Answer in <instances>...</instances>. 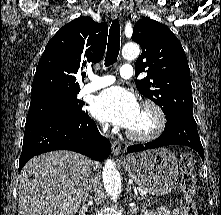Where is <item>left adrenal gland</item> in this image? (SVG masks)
Segmentation results:
<instances>
[{
  "mask_svg": "<svg viewBox=\"0 0 221 215\" xmlns=\"http://www.w3.org/2000/svg\"><path fill=\"white\" fill-rule=\"evenodd\" d=\"M130 195L133 196V192H132V189H131V186L128 184V191H127ZM135 198V196H133Z\"/></svg>",
  "mask_w": 221,
  "mask_h": 215,
  "instance_id": "1",
  "label": "left adrenal gland"
}]
</instances>
